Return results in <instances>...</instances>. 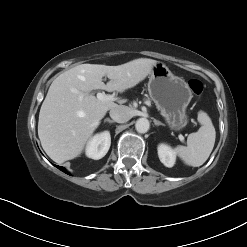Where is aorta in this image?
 Listing matches in <instances>:
<instances>
[{
    "mask_svg": "<svg viewBox=\"0 0 247 247\" xmlns=\"http://www.w3.org/2000/svg\"><path fill=\"white\" fill-rule=\"evenodd\" d=\"M150 123L146 118H139L136 121L135 128L139 133H146L149 130Z\"/></svg>",
    "mask_w": 247,
    "mask_h": 247,
    "instance_id": "obj_1",
    "label": "aorta"
}]
</instances>
